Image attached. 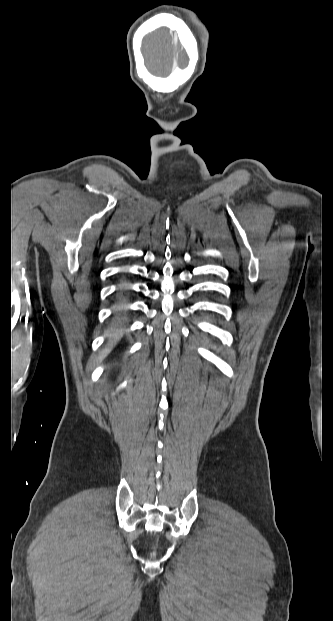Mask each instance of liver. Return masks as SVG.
Masks as SVG:
<instances>
[{
	"label": "liver",
	"mask_w": 333,
	"mask_h": 621,
	"mask_svg": "<svg viewBox=\"0 0 333 621\" xmlns=\"http://www.w3.org/2000/svg\"><path fill=\"white\" fill-rule=\"evenodd\" d=\"M124 332L121 330H112L108 336V344L107 347L99 354L96 363H100L104 360V358L112 351L113 347L117 344V342L122 338Z\"/></svg>",
	"instance_id": "1"
}]
</instances>
